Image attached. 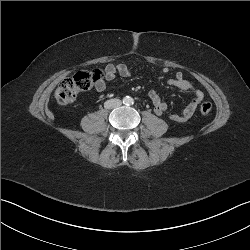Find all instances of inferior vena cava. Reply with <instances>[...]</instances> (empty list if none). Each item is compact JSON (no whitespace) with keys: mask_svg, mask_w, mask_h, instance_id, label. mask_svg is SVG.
Wrapping results in <instances>:
<instances>
[{"mask_svg":"<svg viewBox=\"0 0 250 250\" xmlns=\"http://www.w3.org/2000/svg\"><path fill=\"white\" fill-rule=\"evenodd\" d=\"M121 104H122V102L119 99H110V100L105 102V108L113 109V108L120 107Z\"/></svg>","mask_w":250,"mask_h":250,"instance_id":"inferior-vena-cava-1","label":"inferior vena cava"}]
</instances>
